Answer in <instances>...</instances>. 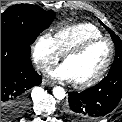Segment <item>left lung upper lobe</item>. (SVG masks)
<instances>
[{
  "label": "left lung upper lobe",
  "mask_w": 122,
  "mask_h": 122,
  "mask_svg": "<svg viewBox=\"0 0 122 122\" xmlns=\"http://www.w3.org/2000/svg\"><path fill=\"white\" fill-rule=\"evenodd\" d=\"M100 23L110 33L115 44V52H116L115 59L110 70H114L116 68L122 67V40L112 30H110L107 26H105L101 21Z\"/></svg>",
  "instance_id": "obj_1"
}]
</instances>
